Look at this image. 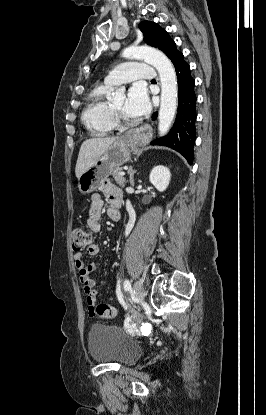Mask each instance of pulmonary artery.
<instances>
[{
    "instance_id": "1",
    "label": "pulmonary artery",
    "mask_w": 266,
    "mask_h": 415,
    "mask_svg": "<svg viewBox=\"0 0 266 415\" xmlns=\"http://www.w3.org/2000/svg\"><path fill=\"white\" fill-rule=\"evenodd\" d=\"M154 67L147 63L127 62L112 70L105 78V83L120 85L136 79L153 80L156 78Z\"/></svg>"
}]
</instances>
